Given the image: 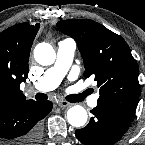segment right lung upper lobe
Returning <instances> with one entry per match:
<instances>
[{"label":"right lung upper lobe","mask_w":145,"mask_h":145,"mask_svg":"<svg viewBox=\"0 0 145 145\" xmlns=\"http://www.w3.org/2000/svg\"><path fill=\"white\" fill-rule=\"evenodd\" d=\"M39 26L21 23L0 33V104L26 101L20 83L26 80L30 49Z\"/></svg>","instance_id":"obj_1"}]
</instances>
